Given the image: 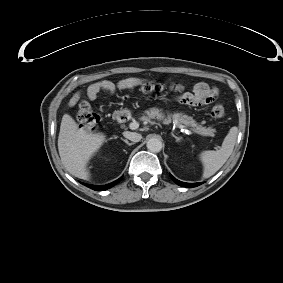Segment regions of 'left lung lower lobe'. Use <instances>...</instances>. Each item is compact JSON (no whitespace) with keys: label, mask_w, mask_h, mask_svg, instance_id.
<instances>
[{"label":"left lung lower lobe","mask_w":283,"mask_h":283,"mask_svg":"<svg viewBox=\"0 0 283 283\" xmlns=\"http://www.w3.org/2000/svg\"><path fill=\"white\" fill-rule=\"evenodd\" d=\"M170 176L176 184L183 186V187H189L190 188V187H196V186L202 184V183H185V182H181V181L175 179L172 175H170Z\"/></svg>","instance_id":"0a47b994"}]
</instances>
